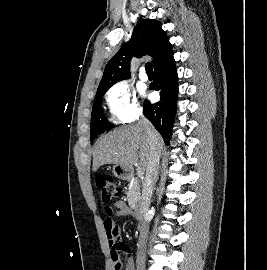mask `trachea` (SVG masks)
Masks as SVG:
<instances>
[{
	"label": "trachea",
	"mask_w": 267,
	"mask_h": 270,
	"mask_svg": "<svg viewBox=\"0 0 267 270\" xmlns=\"http://www.w3.org/2000/svg\"><path fill=\"white\" fill-rule=\"evenodd\" d=\"M145 69H146L147 74L153 73V65H152V63H150V62L146 63Z\"/></svg>",
	"instance_id": "obj_1"
}]
</instances>
